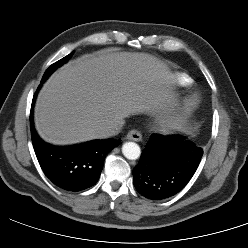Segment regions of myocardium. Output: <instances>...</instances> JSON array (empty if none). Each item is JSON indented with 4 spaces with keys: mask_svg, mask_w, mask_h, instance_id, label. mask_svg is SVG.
I'll return each instance as SVG.
<instances>
[{
    "mask_svg": "<svg viewBox=\"0 0 248 248\" xmlns=\"http://www.w3.org/2000/svg\"><path fill=\"white\" fill-rule=\"evenodd\" d=\"M197 105V101L196 99H191L189 100L186 105L184 106V110L183 113H189L191 112ZM169 124L166 125V127H168Z\"/></svg>",
    "mask_w": 248,
    "mask_h": 248,
    "instance_id": "myocardium-1",
    "label": "myocardium"
}]
</instances>
